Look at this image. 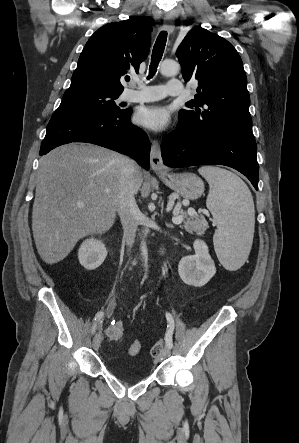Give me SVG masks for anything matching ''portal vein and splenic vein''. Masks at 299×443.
I'll use <instances>...</instances> for the list:
<instances>
[{
	"label": "portal vein and splenic vein",
	"mask_w": 299,
	"mask_h": 443,
	"mask_svg": "<svg viewBox=\"0 0 299 443\" xmlns=\"http://www.w3.org/2000/svg\"><path fill=\"white\" fill-rule=\"evenodd\" d=\"M78 206L79 207H83V204L82 203H78ZM167 210L169 211V210H171V208H167ZM188 214L189 215H195L196 212L194 210H189ZM172 221H173L174 224L178 225V224L182 223L183 218L176 213L175 216L173 217Z\"/></svg>",
	"instance_id": "portal-vein-and-splenic-vein-1"
}]
</instances>
